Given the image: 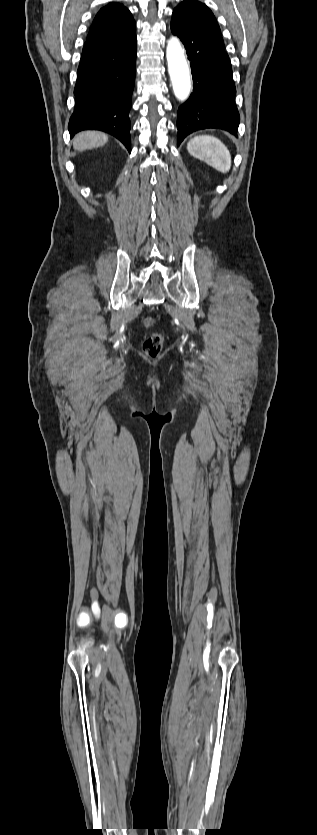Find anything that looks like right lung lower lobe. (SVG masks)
<instances>
[{
	"mask_svg": "<svg viewBox=\"0 0 317 835\" xmlns=\"http://www.w3.org/2000/svg\"><path fill=\"white\" fill-rule=\"evenodd\" d=\"M136 34L116 44L97 38L86 41L77 70L75 110L70 136L82 130H101L129 150L131 95L134 89Z\"/></svg>",
	"mask_w": 317,
	"mask_h": 835,
	"instance_id": "98d812e1",
	"label": "right lung lower lobe"
}]
</instances>
